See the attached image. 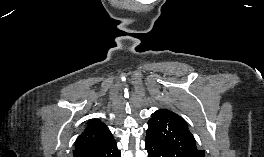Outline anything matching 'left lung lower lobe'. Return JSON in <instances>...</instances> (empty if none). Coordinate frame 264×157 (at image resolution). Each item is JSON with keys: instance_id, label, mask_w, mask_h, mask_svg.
<instances>
[{"instance_id": "1", "label": "left lung lower lobe", "mask_w": 264, "mask_h": 157, "mask_svg": "<svg viewBox=\"0 0 264 157\" xmlns=\"http://www.w3.org/2000/svg\"><path fill=\"white\" fill-rule=\"evenodd\" d=\"M145 148L148 152V157H167L165 150L155 143L145 141Z\"/></svg>"}]
</instances>
